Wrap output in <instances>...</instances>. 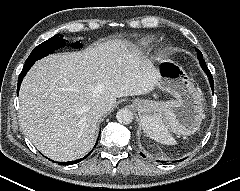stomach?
Masks as SVG:
<instances>
[{
  "label": "stomach",
  "instance_id": "obj_1",
  "mask_svg": "<svg viewBox=\"0 0 240 191\" xmlns=\"http://www.w3.org/2000/svg\"><path fill=\"white\" fill-rule=\"evenodd\" d=\"M156 70L159 75L157 86L170 93L175 99L167 102L135 99L133 105L142 118L159 112L163 114V118L174 132L183 135L194 133L204 117L201 94L177 63L166 61L161 63ZM141 125L143 127L142 121Z\"/></svg>",
  "mask_w": 240,
  "mask_h": 191
}]
</instances>
